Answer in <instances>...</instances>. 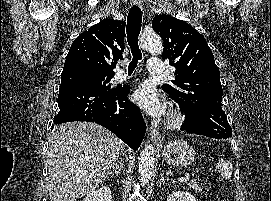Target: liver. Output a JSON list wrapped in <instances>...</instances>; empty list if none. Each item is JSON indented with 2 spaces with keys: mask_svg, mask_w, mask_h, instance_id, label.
Wrapping results in <instances>:
<instances>
[{
  "mask_svg": "<svg viewBox=\"0 0 271 201\" xmlns=\"http://www.w3.org/2000/svg\"><path fill=\"white\" fill-rule=\"evenodd\" d=\"M122 142L109 130L91 122L55 126L48 150V186L51 201H76L105 180Z\"/></svg>",
  "mask_w": 271,
  "mask_h": 201,
  "instance_id": "6515ba94",
  "label": "liver"
}]
</instances>
